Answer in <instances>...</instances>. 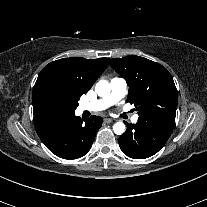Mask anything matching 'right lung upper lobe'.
<instances>
[{
  "label": "right lung upper lobe",
  "mask_w": 207,
  "mask_h": 207,
  "mask_svg": "<svg viewBox=\"0 0 207 207\" xmlns=\"http://www.w3.org/2000/svg\"><path fill=\"white\" fill-rule=\"evenodd\" d=\"M107 66V58L88 60L71 57L49 63L39 73L33 88L34 120L47 116L39 109L37 103L38 93L45 84L53 83L68 95L79 100L82 94L87 93Z\"/></svg>",
  "instance_id": "cb5924a9"
}]
</instances>
